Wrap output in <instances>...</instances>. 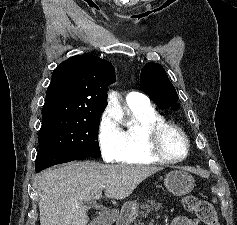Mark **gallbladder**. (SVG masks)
Returning a JSON list of instances; mask_svg holds the SVG:
<instances>
[{"mask_svg":"<svg viewBox=\"0 0 237 225\" xmlns=\"http://www.w3.org/2000/svg\"><path fill=\"white\" fill-rule=\"evenodd\" d=\"M113 222V220H106L105 217H100L97 220H94L93 222H91L90 225H111Z\"/></svg>","mask_w":237,"mask_h":225,"instance_id":"obj_1","label":"gallbladder"}]
</instances>
